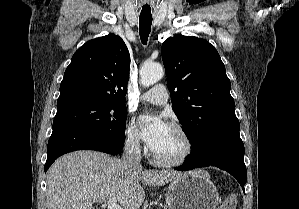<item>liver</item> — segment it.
Listing matches in <instances>:
<instances>
[{
    "label": "liver",
    "instance_id": "1",
    "mask_svg": "<svg viewBox=\"0 0 299 209\" xmlns=\"http://www.w3.org/2000/svg\"><path fill=\"white\" fill-rule=\"evenodd\" d=\"M184 173L131 168L123 160L96 151H76L57 159L47 173L48 209H93L116 197L122 209H138L145 185L162 186Z\"/></svg>",
    "mask_w": 299,
    "mask_h": 209
}]
</instances>
